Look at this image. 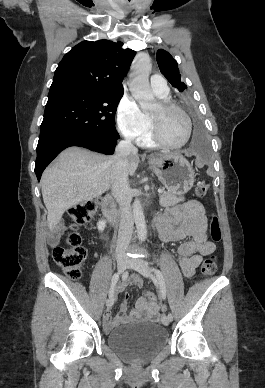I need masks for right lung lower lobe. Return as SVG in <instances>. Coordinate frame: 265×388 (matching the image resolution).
<instances>
[{
    "label": "right lung lower lobe",
    "instance_id": "98d812e1",
    "mask_svg": "<svg viewBox=\"0 0 265 388\" xmlns=\"http://www.w3.org/2000/svg\"><path fill=\"white\" fill-rule=\"evenodd\" d=\"M116 142L76 129L56 130L40 136L35 162L37 179L40 180L46 166L67 147L80 146L103 154H113Z\"/></svg>",
    "mask_w": 265,
    "mask_h": 388
}]
</instances>
